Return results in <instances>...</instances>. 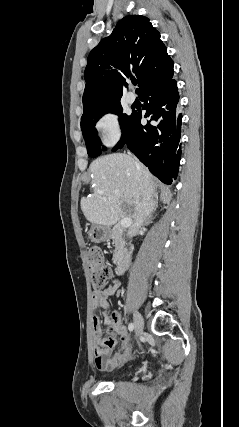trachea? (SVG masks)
<instances>
[{
    "label": "trachea",
    "mask_w": 239,
    "mask_h": 427,
    "mask_svg": "<svg viewBox=\"0 0 239 427\" xmlns=\"http://www.w3.org/2000/svg\"><path fill=\"white\" fill-rule=\"evenodd\" d=\"M132 83H133V85H136V84H137V81H132Z\"/></svg>",
    "instance_id": "3493384b"
}]
</instances>
